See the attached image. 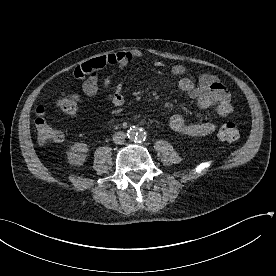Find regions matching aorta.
Returning <instances> with one entry per match:
<instances>
[{
  "label": "aorta",
  "mask_w": 276,
  "mask_h": 276,
  "mask_svg": "<svg viewBox=\"0 0 276 276\" xmlns=\"http://www.w3.org/2000/svg\"><path fill=\"white\" fill-rule=\"evenodd\" d=\"M128 136L133 140L141 142V141L145 140L146 132L142 129L132 127L128 130Z\"/></svg>",
  "instance_id": "aorta-1"
}]
</instances>
